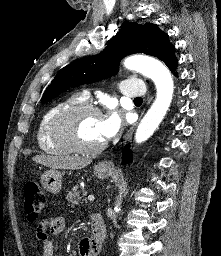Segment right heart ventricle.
<instances>
[{"label": "right heart ventricle", "mask_w": 221, "mask_h": 256, "mask_svg": "<svg viewBox=\"0 0 221 256\" xmlns=\"http://www.w3.org/2000/svg\"><path fill=\"white\" fill-rule=\"evenodd\" d=\"M80 103H85L84 96L80 94H73L53 104L44 113L38 124L36 132L37 144L41 150L50 154H66L70 152L64 144L55 139L53 135V128L55 120L60 113L67 108Z\"/></svg>", "instance_id": "e07e8e85"}]
</instances>
